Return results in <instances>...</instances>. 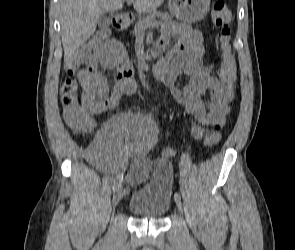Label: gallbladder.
<instances>
[{
  "label": "gallbladder",
  "mask_w": 295,
  "mask_h": 250,
  "mask_svg": "<svg viewBox=\"0 0 295 250\" xmlns=\"http://www.w3.org/2000/svg\"><path fill=\"white\" fill-rule=\"evenodd\" d=\"M112 14L105 13L98 19V26L100 28H108L111 23Z\"/></svg>",
  "instance_id": "1"
}]
</instances>
